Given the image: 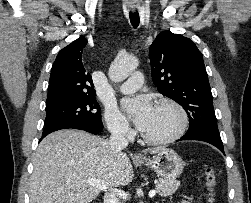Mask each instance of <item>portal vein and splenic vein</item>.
<instances>
[{
	"instance_id": "18ae733b",
	"label": "portal vein and splenic vein",
	"mask_w": 251,
	"mask_h": 203,
	"mask_svg": "<svg viewBox=\"0 0 251 203\" xmlns=\"http://www.w3.org/2000/svg\"><path fill=\"white\" fill-rule=\"evenodd\" d=\"M87 183L89 185L99 187L103 191H106L108 189L103 183H101V181H99L97 179H88ZM114 191L117 192L123 198H126L128 196V194H126L125 192H123L121 190L114 189ZM155 194H156V190H151L149 192V197L153 198L155 196Z\"/></svg>"
}]
</instances>
